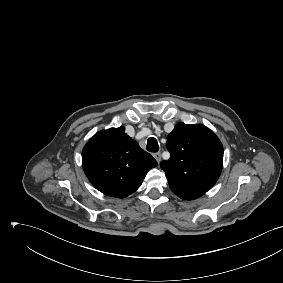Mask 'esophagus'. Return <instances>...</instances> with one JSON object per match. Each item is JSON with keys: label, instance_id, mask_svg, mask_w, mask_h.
Returning <instances> with one entry per match:
<instances>
[{"label": "esophagus", "instance_id": "obj_1", "mask_svg": "<svg viewBox=\"0 0 283 283\" xmlns=\"http://www.w3.org/2000/svg\"><path fill=\"white\" fill-rule=\"evenodd\" d=\"M154 158L157 160L158 163H160L161 162V153L160 152L155 153Z\"/></svg>", "mask_w": 283, "mask_h": 283}]
</instances>
